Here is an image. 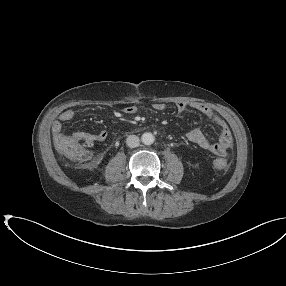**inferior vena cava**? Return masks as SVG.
Here are the masks:
<instances>
[{
    "label": "inferior vena cava",
    "instance_id": "602c4592",
    "mask_svg": "<svg viewBox=\"0 0 286 286\" xmlns=\"http://www.w3.org/2000/svg\"><path fill=\"white\" fill-rule=\"evenodd\" d=\"M139 137L136 135H129L126 139V144L130 147V148H135L139 145Z\"/></svg>",
    "mask_w": 286,
    "mask_h": 286
}]
</instances>
